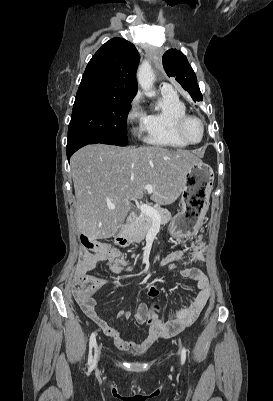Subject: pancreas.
Returning a JSON list of instances; mask_svg holds the SVG:
<instances>
[{"label":"pancreas","mask_w":273,"mask_h":401,"mask_svg":"<svg viewBox=\"0 0 273 401\" xmlns=\"http://www.w3.org/2000/svg\"><path fill=\"white\" fill-rule=\"evenodd\" d=\"M155 209L158 211L159 215H161L160 225H166V223L171 221V213H169L167 209H161V207H155ZM152 225V217L140 213L139 217L127 227V239L129 243H140V241H143Z\"/></svg>","instance_id":"1"}]
</instances>
